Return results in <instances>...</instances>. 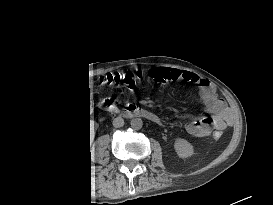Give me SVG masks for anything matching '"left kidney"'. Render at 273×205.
Listing matches in <instances>:
<instances>
[{"instance_id": "1", "label": "left kidney", "mask_w": 273, "mask_h": 205, "mask_svg": "<svg viewBox=\"0 0 273 205\" xmlns=\"http://www.w3.org/2000/svg\"><path fill=\"white\" fill-rule=\"evenodd\" d=\"M174 149L180 158H188L194 154L193 146L185 139L177 138Z\"/></svg>"}]
</instances>
